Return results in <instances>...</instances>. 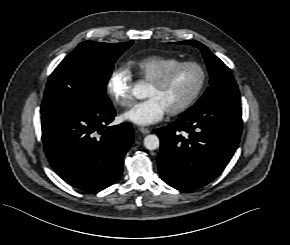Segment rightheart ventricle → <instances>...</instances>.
<instances>
[{
  "label": "right heart ventricle",
  "instance_id": "1",
  "mask_svg": "<svg viewBox=\"0 0 290 245\" xmlns=\"http://www.w3.org/2000/svg\"><path fill=\"white\" fill-rule=\"evenodd\" d=\"M178 62L181 61L175 57L152 55L129 61L127 69L137 78L149 82L164 69Z\"/></svg>",
  "mask_w": 290,
  "mask_h": 245
}]
</instances>
